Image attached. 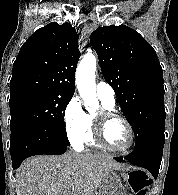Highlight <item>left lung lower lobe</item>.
Instances as JSON below:
<instances>
[{
  "label": "left lung lower lobe",
  "instance_id": "obj_1",
  "mask_svg": "<svg viewBox=\"0 0 178 195\" xmlns=\"http://www.w3.org/2000/svg\"><path fill=\"white\" fill-rule=\"evenodd\" d=\"M164 143L165 140L151 142L134 149L130 154L124 157V159L128 160L131 164L148 169L156 179L162 160ZM114 159L118 162H125L123 158Z\"/></svg>",
  "mask_w": 178,
  "mask_h": 195
}]
</instances>
